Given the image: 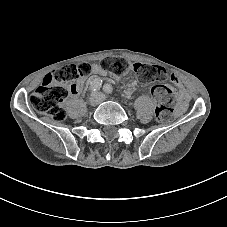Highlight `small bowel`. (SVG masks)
<instances>
[{
  "mask_svg": "<svg viewBox=\"0 0 227 227\" xmlns=\"http://www.w3.org/2000/svg\"><path fill=\"white\" fill-rule=\"evenodd\" d=\"M92 72L95 76H104L107 73V71L104 70L100 65H96V64L92 66ZM171 80L180 88L181 100L186 102L188 100V95L184 91L183 86L179 81V79L175 75H172ZM92 81L93 80L90 81V84ZM82 86H83V83H79L78 89L73 94H77L81 90Z\"/></svg>",
  "mask_w": 227,
  "mask_h": 227,
  "instance_id": "small-bowel-1",
  "label": "small bowel"
}]
</instances>
